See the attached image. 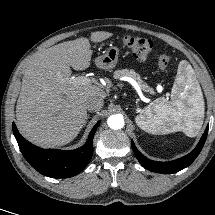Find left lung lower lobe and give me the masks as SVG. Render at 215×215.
<instances>
[{
    "label": "left lung lower lobe",
    "instance_id": "obj_1",
    "mask_svg": "<svg viewBox=\"0 0 215 215\" xmlns=\"http://www.w3.org/2000/svg\"><path fill=\"white\" fill-rule=\"evenodd\" d=\"M207 133H208V127L206 128L204 134L202 135L198 145L192 152H190L188 155L184 157H181L179 159H176L170 162H158V161H153L146 158L137 150L133 141H132V148L136 158L139 160L140 164L146 169L150 171L158 172V173L172 174L188 167L196 159V157L199 155V153L201 152L204 146V143L207 138Z\"/></svg>",
    "mask_w": 215,
    "mask_h": 215
}]
</instances>
